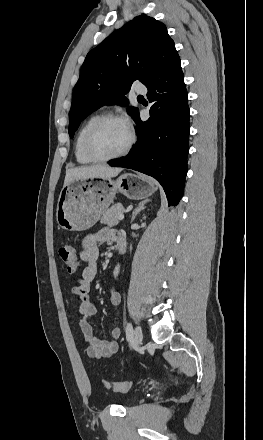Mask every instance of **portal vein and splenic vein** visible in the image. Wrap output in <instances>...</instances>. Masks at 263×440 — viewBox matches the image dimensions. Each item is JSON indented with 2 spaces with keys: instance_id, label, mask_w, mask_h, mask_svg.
Here are the masks:
<instances>
[{
  "instance_id": "portal-vein-and-splenic-vein-1",
  "label": "portal vein and splenic vein",
  "mask_w": 263,
  "mask_h": 440,
  "mask_svg": "<svg viewBox=\"0 0 263 440\" xmlns=\"http://www.w3.org/2000/svg\"><path fill=\"white\" fill-rule=\"evenodd\" d=\"M117 217H118L119 220H123L124 219L123 212L119 213Z\"/></svg>"
}]
</instances>
